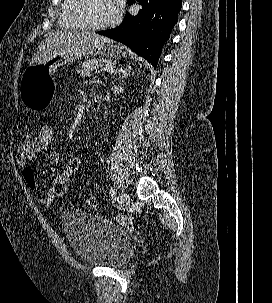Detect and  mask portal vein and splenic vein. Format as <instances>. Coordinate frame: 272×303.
<instances>
[{
  "label": "portal vein and splenic vein",
  "instance_id": "18ae733b",
  "mask_svg": "<svg viewBox=\"0 0 272 303\" xmlns=\"http://www.w3.org/2000/svg\"><path fill=\"white\" fill-rule=\"evenodd\" d=\"M109 72V73H116L118 70L116 67L113 66H106L105 68L101 69V71Z\"/></svg>",
  "mask_w": 272,
  "mask_h": 303
}]
</instances>
